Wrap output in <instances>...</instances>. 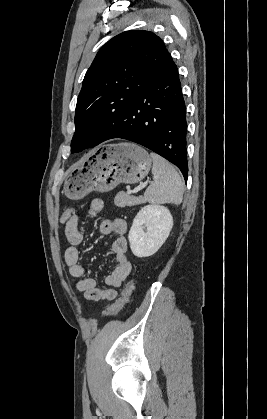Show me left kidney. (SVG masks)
<instances>
[{
    "label": "left kidney",
    "instance_id": "left-kidney-1",
    "mask_svg": "<svg viewBox=\"0 0 267 419\" xmlns=\"http://www.w3.org/2000/svg\"><path fill=\"white\" fill-rule=\"evenodd\" d=\"M172 227L173 217L167 207L152 204L142 207L128 235L132 253L140 258L152 256L166 241Z\"/></svg>",
    "mask_w": 267,
    "mask_h": 419
}]
</instances>
